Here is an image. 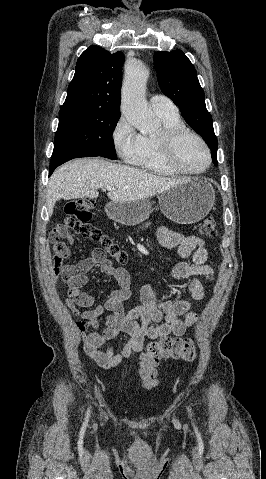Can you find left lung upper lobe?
I'll list each match as a JSON object with an SVG mask.
<instances>
[{"mask_svg":"<svg viewBox=\"0 0 266 479\" xmlns=\"http://www.w3.org/2000/svg\"><path fill=\"white\" fill-rule=\"evenodd\" d=\"M154 65L162 92L179 106L185 121L208 144L212 161L218 165V141L194 66L181 50L156 52Z\"/></svg>","mask_w":266,"mask_h":479,"instance_id":"obj_1","label":"left lung upper lobe"}]
</instances>
